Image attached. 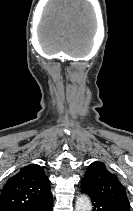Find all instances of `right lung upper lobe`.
<instances>
[{"instance_id":"right-lung-upper-lobe-1","label":"right lung upper lobe","mask_w":133,"mask_h":211,"mask_svg":"<svg viewBox=\"0 0 133 211\" xmlns=\"http://www.w3.org/2000/svg\"><path fill=\"white\" fill-rule=\"evenodd\" d=\"M52 198L50 180L40 165L30 164L8 179L0 195V211H28Z\"/></svg>"}]
</instances>
